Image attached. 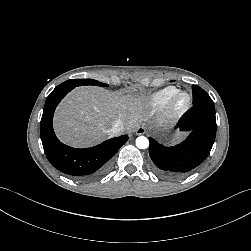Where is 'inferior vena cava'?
<instances>
[{
    "label": "inferior vena cava",
    "mask_w": 251,
    "mask_h": 251,
    "mask_svg": "<svg viewBox=\"0 0 251 251\" xmlns=\"http://www.w3.org/2000/svg\"><path fill=\"white\" fill-rule=\"evenodd\" d=\"M123 131H124V124L121 121L117 120L113 123L111 129L109 130V133L111 135H117Z\"/></svg>",
    "instance_id": "obj_1"
}]
</instances>
